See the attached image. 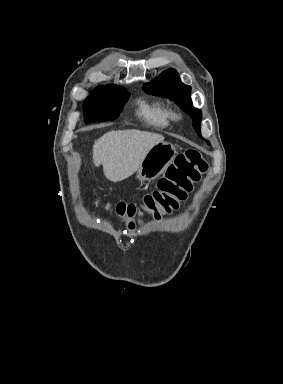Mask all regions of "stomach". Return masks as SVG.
<instances>
[{
    "label": "stomach",
    "instance_id": "0dacf381",
    "mask_svg": "<svg viewBox=\"0 0 283 384\" xmlns=\"http://www.w3.org/2000/svg\"><path fill=\"white\" fill-rule=\"evenodd\" d=\"M176 150L168 142H159L150 148L137 172V180L151 182L163 174L169 164L173 162Z\"/></svg>",
    "mask_w": 283,
    "mask_h": 384
}]
</instances>
